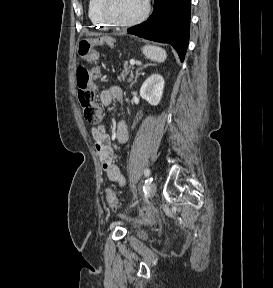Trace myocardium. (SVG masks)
I'll use <instances>...</instances> for the list:
<instances>
[{
    "mask_svg": "<svg viewBox=\"0 0 273 288\" xmlns=\"http://www.w3.org/2000/svg\"><path fill=\"white\" fill-rule=\"evenodd\" d=\"M110 3V0H101V4H100V15L102 17V19L109 25L112 27H131L134 25H137L141 22H143L150 11V6H149V2L148 0H144V10L143 12L136 18L132 19V20H128V21H118L113 19L109 13H108V5Z\"/></svg>",
    "mask_w": 273,
    "mask_h": 288,
    "instance_id": "obj_1",
    "label": "myocardium"
}]
</instances>
